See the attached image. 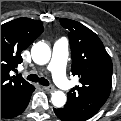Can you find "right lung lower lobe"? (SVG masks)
Returning a JSON list of instances; mask_svg holds the SVG:
<instances>
[{
    "label": "right lung lower lobe",
    "instance_id": "98d812e1",
    "mask_svg": "<svg viewBox=\"0 0 121 121\" xmlns=\"http://www.w3.org/2000/svg\"><path fill=\"white\" fill-rule=\"evenodd\" d=\"M34 86L23 95L13 99L10 103H8L5 107L1 108V117L3 118H12L19 114H21L25 108L27 107L31 94L34 91Z\"/></svg>",
    "mask_w": 121,
    "mask_h": 121
}]
</instances>
